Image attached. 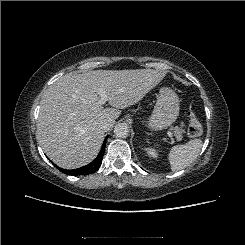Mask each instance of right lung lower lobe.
Wrapping results in <instances>:
<instances>
[{"label":"right lung lower lobe","instance_id":"98d812e1","mask_svg":"<svg viewBox=\"0 0 245 245\" xmlns=\"http://www.w3.org/2000/svg\"><path fill=\"white\" fill-rule=\"evenodd\" d=\"M106 139L104 140V143L102 145L101 151L96 157L94 161H92L90 164L80 167L78 169L73 170H65V169H59L61 172L69 174V175H87L91 174L95 171H97L101 165L102 158L104 155V149H105Z\"/></svg>","mask_w":245,"mask_h":245}]
</instances>
